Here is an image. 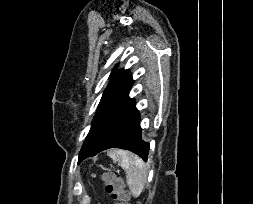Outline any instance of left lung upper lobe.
<instances>
[{
    "label": "left lung upper lobe",
    "instance_id": "1",
    "mask_svg": "<svg viewBox=\"0 0 253 204\" xmlns=\"http://www.w3.org/2000/svg\"><path fill=\"white\" fill-rule=\"evenodd\" d=\"M116 68L117 66L114 68L113 72ZM133 82L128 70H120L111 79L109 85L105 89L94 118L128 97Z\"/></svg>",
    "mask_w": 253,
    "mask_h": 204
}]
</instances>
